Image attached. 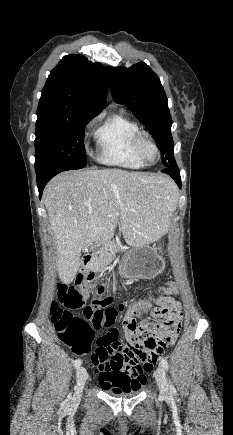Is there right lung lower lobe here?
<instances>
[{"label":"right lung lower lobe","instance_id":"obj_1","mask_svg":"<svg viewBox=\"0 0 233 435\" xmlns=\"http://www.w3.org/2000/svg\"><path fill=\"white\" fill-rule=\"evenodd\" d=\"M66 171V168L63 167H55L49 170H44L40 172H36L37 175V187L39 190V197L41 198L43 189L45 185L49 182L51 178H53L56 174Z\"/></svg>","mask_w":233,"mask_h":435}]
</instances>
